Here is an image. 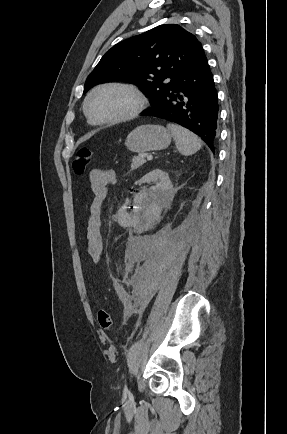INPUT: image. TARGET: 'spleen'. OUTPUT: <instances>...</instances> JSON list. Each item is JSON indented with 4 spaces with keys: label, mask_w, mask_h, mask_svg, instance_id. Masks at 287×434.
I'll use <instances>...</instances> for the list:
<instances>
[{
    "label": "spleen",
    "mask_w": 287,
    "mask_h": 434,
    "mask_svg": "<svg viewBox=\"0 0 287 434\" xmlns=\"http://www.w3.org/2000/svg\"><path fill=\"white\" fill-rule=\"evenodd\" d=\"M167 128L171 132L176 147L182 155H193L201 149L202 143L200 139L191 131L176 124H168Z\"/></svg>",
    "instance_id": "1"
}]
</instances>
